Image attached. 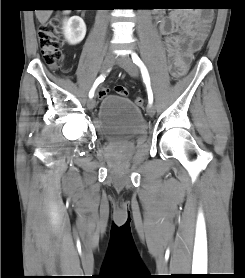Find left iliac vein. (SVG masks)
Segmentation results:
<instances>
[{
	"instance_id": "left-iliac-vein-1",
	"label": "left iliac vein",
	"mask_w": 245,
	"mask_h": 278,
	"mask_svg": "<svg viewBox=\"0 0 245 278\" xmlns=\"http://www.w3.org/2000/svg\"><path fill=\"white\" fill-rule=\"evenodd\" d=\"M117 61L120 66H122V68L126 70L131 76L136 77L138 75L137 66L128 56H121L117 59ZM147 113L149 114V116H153L155 114V107L152 104L147 107Z\"/></svg>"
}]
</instances>
